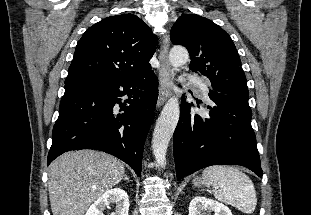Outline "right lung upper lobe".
<instances>
[{
    "instance_id": "1",
    "label": "right lung upper lobe",
    "mask_w": 311,
    "mask_h": 215,
    "mask_svg": "<svg viewBox=\"0 0 311 215\" xmlns=\"http://www.w3.org/2000/svg\"><path fill=\"white\" fill-rule=\"evenodd\" d=\"M156 44L157 37L136 15L107 17L89 27L77 43L65 83L148 75Z\"/></svg>"
}]
</instances>
